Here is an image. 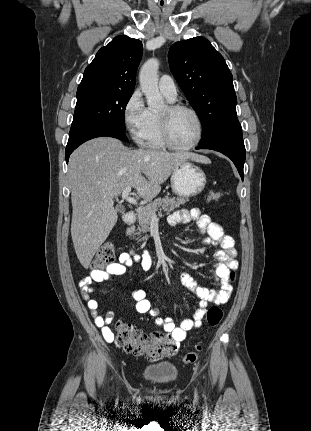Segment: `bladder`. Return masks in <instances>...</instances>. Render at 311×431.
Segmentation results:
<instances>
[{
  "instance_id": "obj_1",
  "label": "bladder",
  "mask_w": 311,
  "mask_h": 431,
  "mask_svg": "<svg viewBox=\"0 0 311 431\" xmlns=\"http://www.w3.org/2000/svg\"><path fill=\"white\" fill-rule=\"evenodd\" d=\"M142 377L153 384L170 385L178 378V370L175 365L167 362L147 365L142 372Z\"/></svg>"
}]
</instances>
